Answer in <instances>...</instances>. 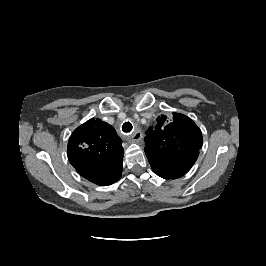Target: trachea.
<instances>
[{"mask_svg": "<svg viewBox=\"0 0 266 266\" xmlns=\"http://www.w3.org/2000/svg\"><path fill=\"white\" fill-rule=\"evenodd\" d=\"M133 129V126L130 122H125L123 125H122V131L125 132V133H129L131 132Z\"/></svg>", "mask_w": 266, "mask_h": 266, "instance_id": "obj_1", "label": "trachea"}]
</instances>
